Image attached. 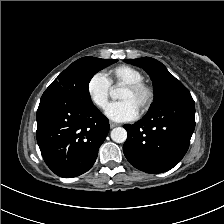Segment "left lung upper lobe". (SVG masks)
Listing matches in <instances>:
<instances>
[{
  "label": "left lung upper lobe",
  "instance_id": "5c2ea615",
  "mask_svg": "<svg viewBox=\"0 0 224 224\" xmlns=\"http://www.w3.org/2000/svg\"><path fill=\"white\" fill-rule=\"evenodd\" d=\"M124 61L142 67L153 81L154 101L148 113L158 111L172 101L191 96L188 89L156 59L142 57L138 59H125Z\"/></svg>",
  "mask_w": 224,
  "mask_h": 224
}]
</instances>
